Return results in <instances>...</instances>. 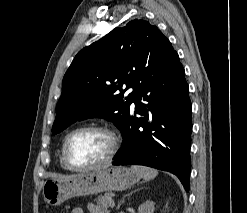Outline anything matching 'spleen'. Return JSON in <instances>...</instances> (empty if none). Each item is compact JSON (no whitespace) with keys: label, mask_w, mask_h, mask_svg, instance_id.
<instances>
[{"label":"spleen","mask_w":247,"mask_h":213,"mask_svg":"<svg viewBox=\"0 0 247 213\" xmlns=\"http://www.w3.org/2000/svg\"><path fill=\"white\" fill-rule=\"evenodd\" d=\"M131 170H133L140 177H142L144 180H147V181L154 179L158 174L157 170L146 167V166L134 165L131 167Z\"/></svg>","instance_id":"1"}]
</instances>
